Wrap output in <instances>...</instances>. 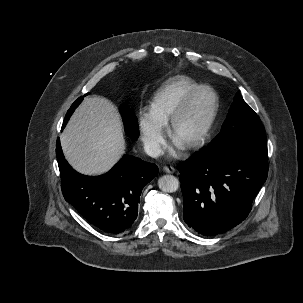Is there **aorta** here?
I'll list each match as a JSON object with an SVG mask.
<instances>
[{"label": "aorta", "mask_w": 303, "mask_h": 303, "mask_svg": "<svg viewBox=\"0 0 303 303\" xmlns=\"http://www.w3.org/2000/svg\"><path fill=\"white\" fill-rule=\"evenodd\" d=\"M158 186L163 192L173 193L179 188V180L173 175H164L159 178Z\"/></svg>", "instance_id": "1"}]
</instances>
